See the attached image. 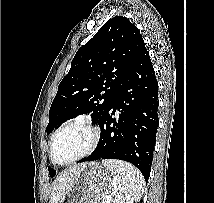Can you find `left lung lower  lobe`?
I'll return each instance as SVG.
<instances>
[{"instance_id":"1","label":"left lung lower lobe","mask_w":214,"mask_h":203,"mask_svg":"<svg viewBox=\"0 0 214 203\" xmlns=\"http://www.w3.org/2000/svg\"><path fill=\"white\" fill-rule=\"evenodd\" d=\"M158 105V83L146 49L123 79L99 123L101 135L96 149L78 163L124 160L135 165L147 181L159 125ZM116 109L119 115L113 118Z\"/></svg>"}]
</instances>
